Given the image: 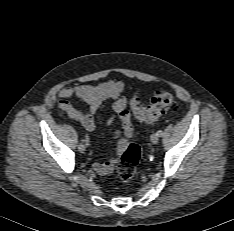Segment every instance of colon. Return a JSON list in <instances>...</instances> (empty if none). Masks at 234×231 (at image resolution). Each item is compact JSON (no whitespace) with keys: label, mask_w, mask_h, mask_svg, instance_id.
Wrapping results in <instances>:
<instances>
[{"label":"colon","mask_w":234,"mask_h":231,"mask_svg":"<svg viewBox=\"0 0 234 231\" xmlns=\"http://www.w3.org/2000/svg\"><path fill=\"white\" fill-rule=\"evenodd\" d=\"M174 106V98L168 91L158 92L147 106H143L141 100L134 96L130 101V107L135 118L144 123H152L157 118ZM141 155L140 147L135 142H129L117 166V175L124 182H130L136 173L137 164Z\"/></svg>","instance_id":"colon-1"}]
</instances>
